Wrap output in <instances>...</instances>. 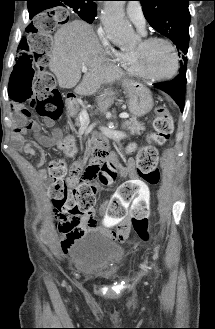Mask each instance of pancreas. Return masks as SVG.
Wrapping results in <instances>:
<instances>
[{
  "label": "pancreas",
  "mask_w": 215,
  "mask_h": 329,
  "mask_svg": "<svg viewBox=\"0 0 215 329\" xmlns=\"http://www.w3.org/2000/svg\"><path fill=\"white\" fill-rule=\"evenodd\" d=\"M78 108H75L74 111L70 112L71 115L75 118V125H80V114L78 113ZM122 129L130 132L131 135H141L142 131H145V127L142 123L138 122L136 118H131L129 121H125L122 124Z\"/></svg>",
  "instance_id": "pancreas-1"
}]
</instances>
